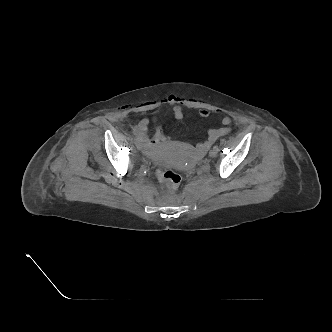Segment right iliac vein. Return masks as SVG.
<instances>
[{
	"label": "right iliac vein",
	"instance_id": "obj_1",
	"mask_svg": "<svg viewBox=\"0 0 332 332\" xmlns=\"http://www.w3.org/2000/svg\"><path fill=\"white\" fill-rule=\"evenodd\" d=\"M136 147L141 150L143 148V139L141 136H137L135 139Z\"/></svg>",
	"mask_w": 332,
	"mask_h": 332
}]
</instances>
